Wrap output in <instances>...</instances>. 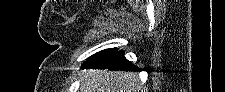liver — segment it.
I'll return each mask as SVG.
<instances>
[{
	"label": "liver",
	"instance_id": "6515ba94",
	"mask_svg": "<svg viewBox=\"0 0 225 92\" xmlns=\"http://www.w3.org/2000/svg\"><path fill=\"white\" fill-rule=\"evenodd\" d=\"M81 92H143L136 73L90 70L81 78Z\"/></svg>",
	"mask_w": 225,
	"mask_h": 92
}]
</instances>
